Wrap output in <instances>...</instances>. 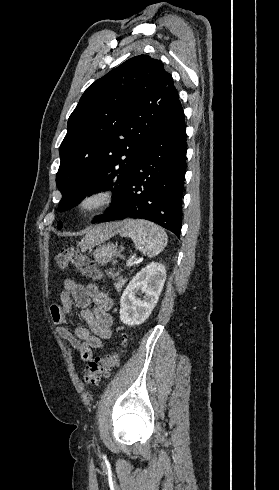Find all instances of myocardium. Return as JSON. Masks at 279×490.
I'll return each instance as SVG.
<instances>
[{"label": "myocardium", "mask_w": 279, "mask_h": 490, "mask_svg": "<svg viewBox=\"0 0 279 490\" xmlns=\"http://www.w3.org/2000/svg\"><path fill=\"white\" fill-rule=\"evenodd\" d=\"M115 200L116 191L111 185L89 184L83 188L76 203V210L81 216H91L111 206Z\"/></svg>", "instance_id": "f54148a6"}]
</instances>
